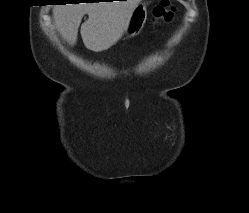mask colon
<instances>
[{
    "label": "colon",
    "mask_w": 249,
    "mask_h": 213,
    "mask_svg": "<svg viewBox=\"0 0 249 213\" xmlns=\"http://www.w3.org/2000/svg\"><path fill=\"white\" fill-rule=\"evenodd\" d=\"M152 12L155 22L167 21L174 13L168 0H161V2L153 8Z\"/></svg>",
    "instance_id": "obj_1"
}]
</instances>
